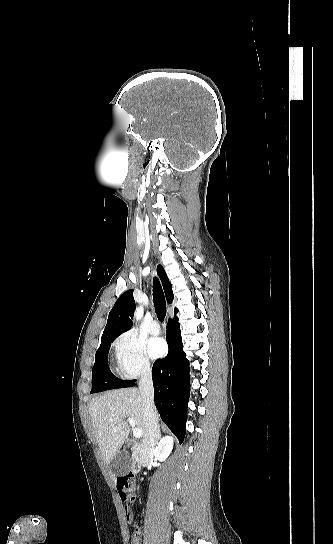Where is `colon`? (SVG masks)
Masks as SVG:
<instances>
[{
    "label": "colon",
    "instance_id": "1",
    "mask_svg": "<svg viewBox=\"0 0 333 544\" xmlns=\"http://www.w3.org/2000/svg\"><path fill=\"white\" fill-rule=\"evenodd\" d=\"M120 497L124 503H132L135 499V479L132 474L119 477L117 480ZM132 544H140V530L135 529Z\"/></svg>",
    "mask_w": 333,
    "mask_h": 544
}]
</instances>
